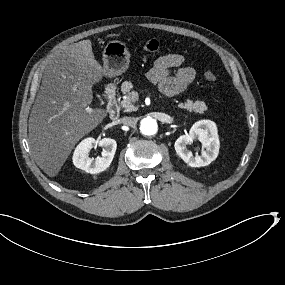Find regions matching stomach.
<instances>
[{"instance_id":"obj_1","label":"stomach","mask_w":285,"mask_h":285,"mask_svg":"<svg viewBox=\"0 0 285 285\" xmlns=\"http://www.w3.org/2000/svg\"><path fill=\"white\" fill-rule=\"evenodd\" d=\"M130 53L124 43L118 40L110 41L103 51L104 72L108 77H114L125 72L129 66Z\"/></svg>"}]
</instances>
